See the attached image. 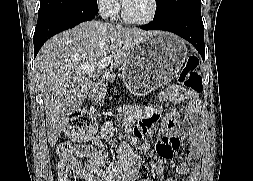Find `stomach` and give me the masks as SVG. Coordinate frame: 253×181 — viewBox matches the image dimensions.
I'll list each match as a JSON object with an SVG mask.
<instances>
[{
	"label": "stomach",
	"mask_w": 253,
	"mask_h": 181,
	"mask_svg": "<svg viewBox=\"0 0 253 181\" xmlns=\"http://www.w3.org/2000/svg\"><path fill=\"white\" fill-rule=\"evenodd\" d=\"M186 61L187 48L182 39L155 31L129 50L120 77L132 94L146 95L171 82Z\"/></svg>",
	"instance_id": "0dacf381"
}]
</instances>
